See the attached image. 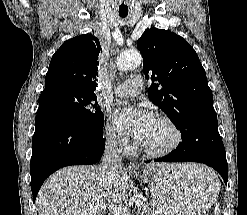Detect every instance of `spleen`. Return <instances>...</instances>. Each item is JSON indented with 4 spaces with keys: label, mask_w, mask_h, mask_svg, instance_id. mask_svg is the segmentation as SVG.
<instances>
[{
    "label": "spleen",
    "mask_w": 247,
    "mask_h": 215,
    "mask_svg": "<svg viewBox=\"0 0 247 215\" xmlns=\"http://www.w3.org/2000/svg\"><path fill=\"white\" fill-rule=\"evenodd\" d=\"M215 214H218L219 212H220V210H219V204H216V207H215Z\"/></svg>",
    "instance_id": "3e777b00"
}]
</instances>
